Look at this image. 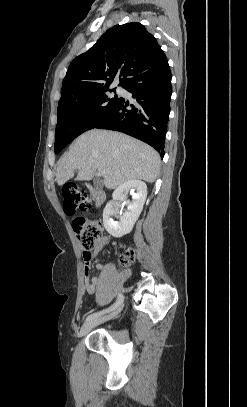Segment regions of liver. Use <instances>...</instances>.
I'll list each match as a JSON object with an SVG mask.
<instances>
[{"label":"liver","mask_w":247,"mask_h":407,"mask_svg":"<svg viewBox=\"0 0 247 407\" xmlns=\"http://www.w3.org/2000/svg\"><path fill=\"white\" fill-rule=\"evenodd\" d=\"M75 180L93 179L97 169L103 170L104 184L115 189L128 180L153 183L159 173L160 157L149 145L128 135L90 130L79 136L69 152L61 158L56 171L59 186L74 177Z\"/></svg>","instance_id":"obj_1"}]
</instances>
